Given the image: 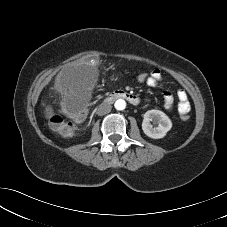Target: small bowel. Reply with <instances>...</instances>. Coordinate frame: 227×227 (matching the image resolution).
<instances>
[{"label": "small bowel", "instance_id": "small-bowel-1", "mask_svg": "<svg viewBox=\"0 0 227 227\" xmlns=\"http://www.w3.org/2000/svg\"><path fill=\"white\" fill-rule=\"evenodd\" d=\"M162 73L160 70L155 69L150 73V78L147 82V85L150 87H155L158 85V83L161 81ZM164 97V108L166 110H171L174 105V96L169 92L165 91L163 93ZM177 98H178V112L181 113H188L191 110V105L188 99V96L184 90H179L177 92Z\"/></svg>", "mask_w": 227, "mask_h": 227}]
</instances>
